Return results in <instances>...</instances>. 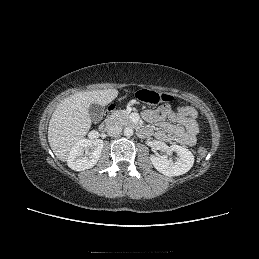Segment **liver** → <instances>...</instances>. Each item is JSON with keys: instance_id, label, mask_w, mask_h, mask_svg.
<instances>
[{"instance_id": "6515ba94", "label": "liver", "mask_w": 259, "mask_h": 259, "mask_svg": "<svg viewBox=\"0 0 259 259\" xmlns=\"http://www.w3.org/2000/svg\"><path fill=\"white\" fill-rule=\"evenodd\" d=\"M118 96V90L83 91L65 98L54 110L48 127L49 145L61 161H66L70 150L91 127L88 108L97 103L105 106Z\"/></svg>"}]
</instances>
